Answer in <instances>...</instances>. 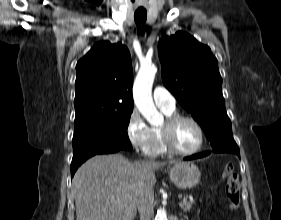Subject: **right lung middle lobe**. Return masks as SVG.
<instances>
[{
    "mask_svg": "<svg viewBox=\"0 0 281 220\" xmlns=\"http://www.w3.org/2000/svg\"><path fill=\"white\" fill-rule=\"evenodd\" d=\"M132 111L110 112L75 118L73 156L92 150H131L127 128Z\"/></svg>",
    "mask_w": 281,
    "mask_h": 220,
    "instance_id": "obj_1",
    "label": "right lung middle lobe"
}]
</instances>
